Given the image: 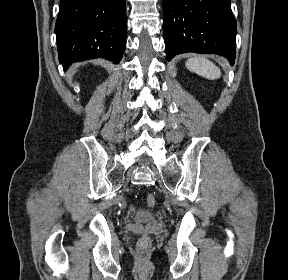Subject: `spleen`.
<instances>
[{
    "instance_id": "obj_1",
    "label": "spleen",
    "mask_w": 288,
    "mask_h": 280,
    "mask_svg": "<svg viewBox=\"0 0 288 280\" xmlns=\"http://www.w3.org/2000/svg\"><path fill=\"white\" fill-rule=\"evenodd\" d=\"M186 67L209 80H215L221 77L220 69L205 57L199 56L188 59Z\"/></svg>"
}]
</instances>
